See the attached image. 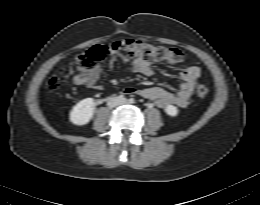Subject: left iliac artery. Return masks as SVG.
Here are the masks:
<instances>
[{"label": "left iliac artery", "mask_w": 260, "mask_h": 205, "mask_svg": "<svg viewBox=\"0 0 260 205\" xmlns=\"http://www.w3.org/2000/svg\"><path fill=\"white\" fill-rule=\"evenodd\" d=\"M129 102H130V103H135V100H134L133 98H130V99H129Z\"/></svg>", "instance_id": "1"}]
</instances>
